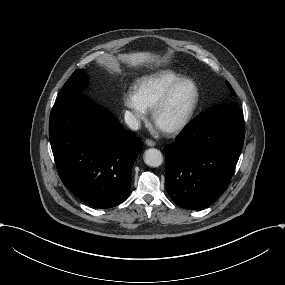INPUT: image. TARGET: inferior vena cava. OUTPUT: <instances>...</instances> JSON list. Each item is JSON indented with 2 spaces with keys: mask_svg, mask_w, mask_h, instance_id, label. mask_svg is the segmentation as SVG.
I'll return each instance as SVG.
<instances>
[{
  "mask_svg": "<svg viewBox=\"0 0 285 285\" xmlns=\"http://www.w3.org/2000/svg\"><path fill=\"white\" fill-rule=\"evenodd\" d=\"M125 123L132 129V130H138L140 127V122L137 120V118L130 112L126 111L124 114Z\"/></svg>",
  "mask_w": 285,
  "mask_h": 285,
  "instance_id": "602c4592",
  "label": "inferior vena cava"
}]
</instances>
